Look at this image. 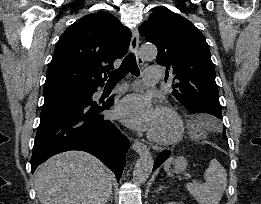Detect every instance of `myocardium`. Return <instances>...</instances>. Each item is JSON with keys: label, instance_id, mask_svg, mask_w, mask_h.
Returning <instances> with one entry per match:
<instances>
[{"label": "myocardium", "instance_id": "1", "mask_svg": "<svg viewBox=\"0 0 261 204\" xmlns=\"http://www.w3.org/2000/svg\"><path fill=\"white\" fill-rule=\"evenodd\" d=\"M157 111L167 114L171 118L174 128L170 134L164 136H159L149 131L148 138L152 142L160 145H169L177 142L184 132V121L181 115L175 108L170 105H160Z\"/></svg>", "mask_w": 261, "mask_h": 204}]
</instances>
